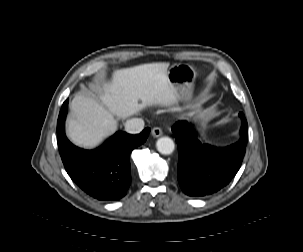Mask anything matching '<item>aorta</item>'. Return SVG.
<instances>
[{
    "label": "aorta",
    "instance_id": "aorta-1",
    "mask_svg": "<svg viewBox=\"0 0 303 252\" xmlns=\"http://www.w3.org/2000/svg\"><path fill=\"white\" fill-rule=\"evenodd\" d=\"M157 150L164 155L171 154L175 149L174 141L169 137H161L156 142Z\"/></svg>",
    "mask_w": 303,
    "mask_h": 252
}]
</instances>
